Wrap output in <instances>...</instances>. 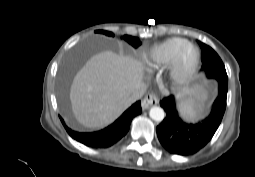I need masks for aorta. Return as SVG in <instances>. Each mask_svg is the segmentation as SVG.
Masks as SVG:
<instances>
[{"label": "aorta", "mask_w": 255, "mask_h": 177, "mask_svg": "<svg viewBox=\"0 0 255 177\" xmlns=\"http://www.w3.org/2000/svg\"><path fill=\"white\" fill-rule=\"evenodd\" d=\"M149 116L156 122H161L165 117V112L161 107L154 106L149 111Z\"/></svg>", "instance_id": "762f6f07"}]
</instances>
